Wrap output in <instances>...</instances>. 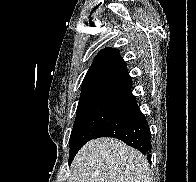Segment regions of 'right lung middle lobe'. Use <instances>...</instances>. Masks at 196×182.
<instances>
[{"mask_svg":"<svg viewBox=\"0 0 196 182\" xmlns=\"http://www.w3.org/2000/svg\"><path fill=\"white\" fill-rule=\"evenodd\" d=\"M134 109L130 105L95 103L77 108L75 123L69 140V162L79 149L93 139L109 124L120 119Z\"/></svg>","mask_w":196,"mask_h":182,"instance_id":"1","label":"right lung middle lobe"}]
</instances>
